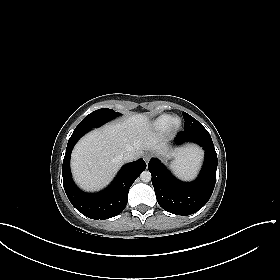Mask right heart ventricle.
I'll return each instance as SVG.
<instances>
[{
	"label": "right heart ventricle",
	"instance_id": "obj_1",
	"mask_svg": "<svg viewBox=\"0 0 280 280\" xmlns=\"http://www.w3.org/2000/svg\"><path fill=\"white\" fill-rule=\"evenodd\" d=\"M171 115L162 114L150 122V129L156 132H164L167 129V125L171 119Z\"/></svg>",
	"mask_w": 280,
	"mask_h": 280
}]
</instances>
